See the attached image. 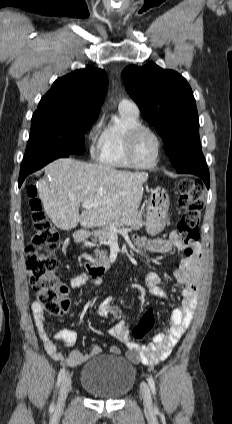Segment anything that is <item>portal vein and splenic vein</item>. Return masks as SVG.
<instances>
[{"label":"portal vein and splenic vein","instance_id":"18ae733b","mask_svg":"<svg viewBox=\"0 0 232 424\" xmlns=\"http://www.w3.org/2000/svg\"><path fill=\"white\" fill-rule=\"evenodd\" d=\"M94 205H96V202H94V201H85V202L82 203V207L85 208V209L91 208ZM125 222H127V220H125ZM111 229H112L113 233L118 231V229H116L115 227H112Z\"/></svg>","mask_w":232,"mask_h":424}]
</instances>
